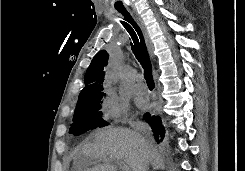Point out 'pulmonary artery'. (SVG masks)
I'll return each instance as SVG.
<instances>
[{"label":"pulmonary artery","mask_w":245,"mask_h":171,"mask_svg":"<svg viewBox=\"0 0 245 171\" xmlns=\"http://www.w3.org/2000/svg\"><path fill=\"white\" fill-rule=\"evenodd\" d=\"M134 92L138 95H143L147 92V87L139 79L134 86Z\"/></svg>","instance_id":"1"}]
</instances>
